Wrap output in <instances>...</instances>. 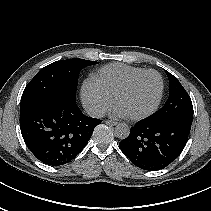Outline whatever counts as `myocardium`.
<instances>
[{
  "mask_svg": "<svg viewBox=\"0 0 211 211\" xmlns=\"http://www.w3.org/2000/svg\"><path fill=\"white\" fill-rule=\"evenodd\" d=\"M148 73H154L158 76L159 80H160V90H159V95L158 98L156 100V102L154 103V105L146 112L138 114V115H132L129 116L130 119L132 120H142L145 119L149 116H151L154 112H156V110L158 109V107L161 104V101L163 99V94H164V89H165V83H164V79L163 76L161 75L160 72H158L155 69H146L140 73H137L136 75L132 76L130 79H128L121 87H119L115 93L113 94V102L116 101V99L122 95L123 93H125L126 91H128L133 84L142 76L148 74Z\"/></svg>",
  "mask_w": 211,
  "mask_h": 211,
  "instance_id": "myocardium-1",
  "label": "myocardium"
}]
</instances>
